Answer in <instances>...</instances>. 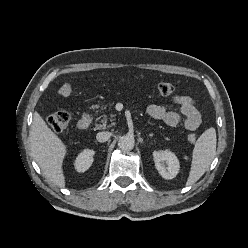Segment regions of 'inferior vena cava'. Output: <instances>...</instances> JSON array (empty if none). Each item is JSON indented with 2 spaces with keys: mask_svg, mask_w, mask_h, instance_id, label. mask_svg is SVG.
I'll list each match as a JSON object with an SVG mask.
<instances>
[{
  "mask_svg": "<svg viewBox=\"0 0 248 248\" xmlns=\"http://www.w3.org/2000/svg\"><path fill=\"white\" fill-rule=\"evenodd\" d=\"M111 133L110 132H107V131H103V132H99L97 133L96 135V139L98 142H106L109 140V138L111 137Z\"/></svg>",
  "mask_w": 248,
  "mask_h": 248,
  "instance_id": "obj_1",
  "label": "inferior vena cava"
}]
</instances>
